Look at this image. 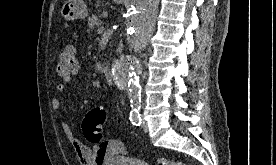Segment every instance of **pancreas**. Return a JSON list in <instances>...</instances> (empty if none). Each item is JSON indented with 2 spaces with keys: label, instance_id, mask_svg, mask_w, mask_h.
Listing matches in <instances>:
<instances>
[{
  "label": "pancreas",
  "instance_id": "obj_1",
  "mask_svg": "<svg viewBox=\"0 0 276 165\" xmlns=\"http://www.w3.org/2000/svg\"><path fill=\"white\" fill-rule=\"evenodd\" d=\"M103 25V22L100 20V16L93 15L88 19V26L90 29L94 30Z\"/></svg>",
  "mask_w": 276,
  "mask_h": 165
}]
</instances>
